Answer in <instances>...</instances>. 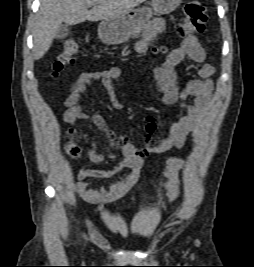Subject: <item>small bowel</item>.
I'll return each mask as SVG.
<instances>
[{"mask_svg": "<svg viewBox=\"0 0 254 267\" xmlns=\"http://www.w3.org/2000/svg\"><path fill=\"white\" fill-rule=\"evenodd\" d=\"M166 26V19H153L146 28L142 39L137 43V50L145 51ZM186 59L198 65V78L188 79L184 87L180 88L176 67ZM153 72L158 89L162 93V102L165 105H174L180 101L183 113L178 115L176 121L170 126L168 136L159 142H154L152 138L157 129L155 119L152 116H146L143 119L146 135L142 148H137L128 137H122L119 140L120 153L105 156L96 150V144L93 143L89 155L91 162L100 163L106 158L121 157V159L117 166L108 170L82 169L76 173L75 190L84 201L96 204L120 200L138 183L140 171L149 154H161L172 148H182L188 135L201 123L211 101L213 89L211 77L215 68L205 62V52L198 40L193 36L185 38L181 45L169 54L163 65L154 68ZM120 76L121 70L117 67L101 72L82 73L72 85L71 91L64 102L66 107L63 114L64 121L70 125L90 122L104 131L106 135L112 137V131L101 116L98 113L93 115L84 113L79 102L88 85L94 81H100L108 94L111 107L114 110L123 109V103L114 85V81ZM189 98H192L190 103L187 102ZM125 170H129V174L108 191L89 188L84 182L87 178H109Z\"/></svg>", "mask_w": 254, "mask_h": 267, "instance_id": "1", "label": "small bowel"}]
</instances>
